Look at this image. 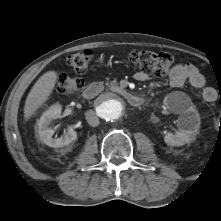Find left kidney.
Instances as JSON below:
<instances>
[{
  "label": "left kidney",
  "mask_w": 221,
  "mask_h": 221,
  "mask_svg": "<svg viewBox=\"0 0 221 221\" xmlns=\"http://www.w3.org/2000/svg\"><path fill=\"white\" fill-rule=\"evenodd\" d=\"M164 105L169 111L179 114L178 130L167 133L164 141L169 146H182L193 140L200 128V117L191 99L183 92H172L164 98Z\"/></svg>",
  "instance_id": "obj_1"
}]
</instances>
